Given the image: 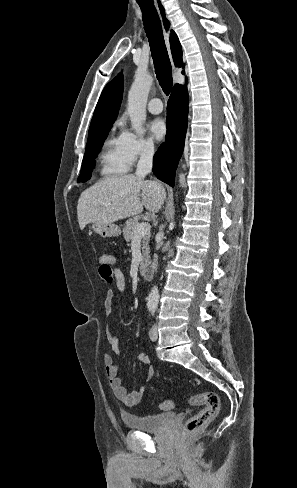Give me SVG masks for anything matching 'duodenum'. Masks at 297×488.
Here are the masks:
<instances>
[{
	"label": "duodenum",
	"instance_id": "1",
	"mask_svg": "<svg viewBox=\"0 0 297 488\" xmlns=\"http://www.w3.org/2000/svg\"><path fill=\"white\" fill-rule=\"evenodd\" d=\"M140 274L147 280L152 278L153 266L151 262H144L140 266Z\"/></svg>",
	"mask_w": 297,
	"mask_h": 488
}]
</instances>
